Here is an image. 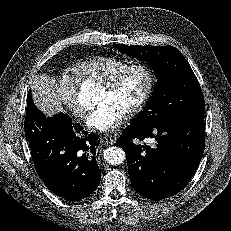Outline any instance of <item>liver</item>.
<instances>
[{"instance_id": "obj_1", "label": "liver", "mask_w": 231, "mask_h": 231, "mask_svg": "<svg viewBox=\"0 0 231 231\" xmlns=\"http://www.w3.org/2000/svg\"><path fill=\"white\" fill-rule=\"evenodd\" d=\"M31 89L35 105L46 116L63 112L54 78L47 74L38 75L34 77Z\"/></svg>"}]
</instances>
